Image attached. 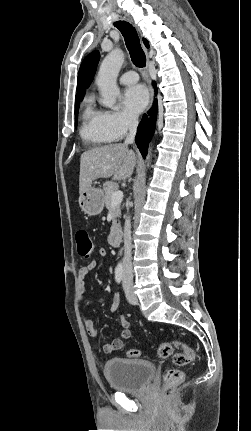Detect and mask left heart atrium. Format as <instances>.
Wrapping results in <instances>:
<instances>
[{
    "mask_svg": "<svg viewBox=\"0 0 251 431\" xmlns=\"http://www.w3.org/2000/svg\"><path fill=\"white\" fill-rule=\"evenodd\" d=\"M148 101L149 96L147 89L141 84L129 86L124 91L122 97L124 107L135 115L141 113L145 109Z\"/></svg>",
    "mask_w": 251,
    "mask_h": 431,
    "instance_id": "left-heart-atrium-1",
    "label": "left heart atrium"
}]
</instances>
